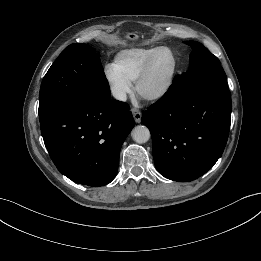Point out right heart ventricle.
I'll list each match as a JSON object with an SVG mask.
<instances>
[{
  "label": "right heart ventricle",
  "mask_w": 261,
  "mask_h": 261,
  "mask_svg": "<svg viewBox=\"0 0 261 261\" xmlns=\"http://www.w3.org/2000/svg\"><path fill=\"white\" fill-rule=\"evenodd\" d=\"M158 47L131 48L120 51L114 59L117 71L130 82H135L144 65Z\"/></svg>",
  "instance_id": "right-heart-ventricle-1"
}]
</instances>
